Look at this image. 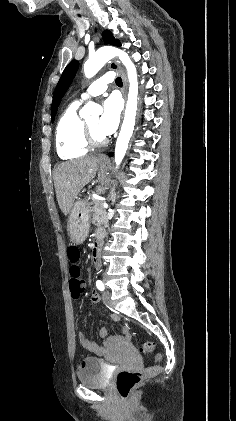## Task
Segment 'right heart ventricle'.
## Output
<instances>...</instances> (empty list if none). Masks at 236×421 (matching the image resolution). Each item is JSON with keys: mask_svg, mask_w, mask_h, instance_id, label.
Segmentation results:
<instances>
[{"mask_svg": "<svg viewBox=\"0 0 236 421\" xmlns=\"http://www.w3.org/2000/svg\"><path fill=\"white\" fill-rule=\"evenodd\" d=\"M78 107V102H72L61 114L56 126V151L63 160L74 161L85 156L89 150L80 136L83 119Z\"/></svg>", "mask_w": 236, "mask_h": 421, "instance_id": "obj_1", "label": "right heart ventricle"}]
</instances>
